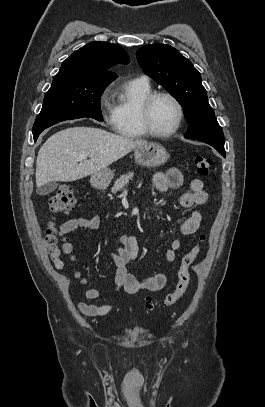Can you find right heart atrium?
Masks as SVG:
<instances>
[{"label":"right heart atrium","mask_w":265,"mask_h":407,"mask_svg":"<svg viewBox=\"0 0 265 407\" xmlns=\"http://www.w3.org/2000/svg\"><path fill=\"white\" fill-rule=\"evenodd\" d=\"M98 104L99 108L101 110L102 116L104 118V121L108 125H113V120H114V115H113V106L111 103V97H110V88H105L104 90L101 91L98 97Z\"/></svg>","instance_id":"right-heart-atrium-1"}]
</instances>
